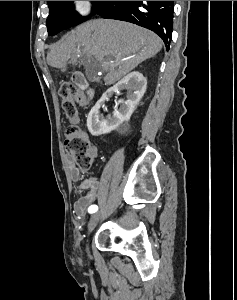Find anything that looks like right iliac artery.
Segmentation results:
<instances>
[{"instance_id": "obj_1", "label": "right iliac artery", "mask_w": 237, "mask_h": 300, "mask_svg": "<svg viewBox=\"0 0 237 300\" xmlns=\"http://www.w3.org/2000/svg\"><path fill=\"white\" fill-rule=\"evenodd\" d=\"M97 210H98V206H97V205H91V206L88 208V212H89V213H95Z\"/></svg>"}]
</instances>
